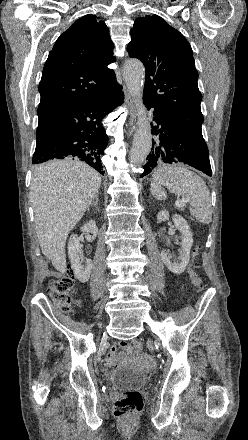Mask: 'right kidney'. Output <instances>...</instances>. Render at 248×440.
I'll return each instance as SVG.
<instances>
[{"label":"right kidney","instance_id":"obj_1","mask_svg":"<svg viewBox=\"0 0 248 440\" xmlns=\"http://www.w3.org/2000/svg\"><path fill=\"white\" fill-rule=\"evenodd\" d=\"M81 231L91 233L95 236L98 234V228L94 220H90L83 227H81ZM68 255L75 277L81 283H86L90 278L93 264L90 259L83 257L82 251L80 250L79 238L75 234L71 235L69 239Z\"/></svg>","mask_w":248,"mask_h":440}]
</instances>
